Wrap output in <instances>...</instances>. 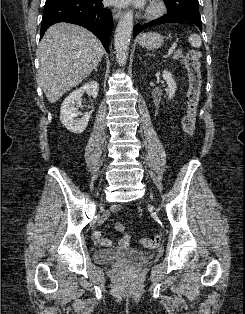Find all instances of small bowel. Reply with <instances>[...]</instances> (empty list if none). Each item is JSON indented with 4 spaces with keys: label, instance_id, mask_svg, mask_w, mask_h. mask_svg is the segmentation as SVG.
<instances>
[{
    "label": "small bowel",
    "instance_id": "obj_1",
    "mask_svg": "<svg viewBox=\"0 0 245 314\" xmlns=\"http://www.w3.org/2000/svg\"><path fill=\"white\" fill-rule=\"evenodd\" d=\"M119 210V206L114 205L112 206V211H118ZM110 215L109 212H106L103 215V219L108 218ZM122 224H116L115 228L116 230L122 232L124 230V227H122ZM94 237L98 240V242L103 245V246H109L111 244V241L109 239H105L101 236L100 231H94L93 233ZM130 241V236L128 234H124L122 237H120L119 239H117V244L120 246H126Z\"/></svg>",
    "mask_w": 245,
    "mask_h": 314
}]
</instances>
